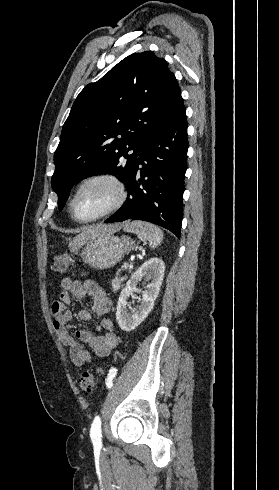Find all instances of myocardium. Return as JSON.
I'll return each mask as SVG.
<instances>
[{"instance_id":"myocardium-1","label":"myocardium","mask_w":279,"mask_h":490,"mask_svg":"<svg viewBox=\"0 0 279 490\" xmlns=\"http://www.w3.org/2000/svg\"><path fill=\"white\" fill-rule=\"evenodd\" d=\"M96 182L108 184L114 191L115 194L114 198L96 214L88 218L77 217L74 211V204L80 191L87 184L96 183ZM127 196H128V191L125 186V183L116 174L110 171L94 172L83 177L74 186L69 200L70 215L76 222L80 224L91 223L93 221L99 220L117 211L125 203Z\"/></svg>"}]
</instances>
